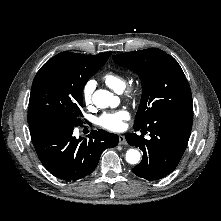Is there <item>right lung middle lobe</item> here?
<instances>
[{
    "mask_svg": "<svg viewBox=\"0 0 221 221\" xmlns=\"http://www.w3.org/2000/svg\"><path fill=\"white\" fill-rule=\"evenodd\" d=\"M103 64L88 55L62 52L37 72L29 100V126L42 121L75 127L82 124V91Z\"/></svg>",
    "mask_w": 221,
    "mask_h": 221,
    "instance_id": "right-lung-middle-lobe-1",
    "label": "right lung middle lobe"
}]
</instances>
